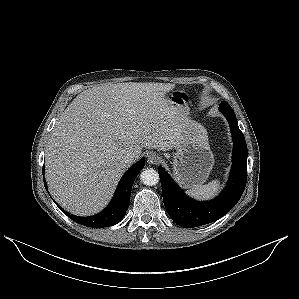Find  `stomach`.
<instances>
[{"label": "stomach", "mask_w": 299, "mask_h": 299, "mask_svg": "<svg viewBox=\"0 0 299 299\" xmlns=\"http://www.w3.org/2000/svg\"><path fill=\"white\" fill-rule=\"evenodd\" d=\"M167 99L179 108L189 103V95L183 90L171 91ZM183 135L184 139L174 154L173 173L180 186L191 188L206 182L214 165V156L203 126L189 120Z\"/></svg>", "instance_id": "1"}]
</instances>
